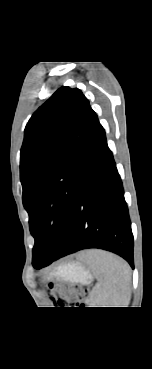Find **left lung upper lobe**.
<instances>
[{
	"mask_svg": "<svg viewBox=\"0 0 152 369\" xmlns=\"http://www.w3.org/2000/svg\"><path fill=\"white\" fill-rule=\"evenodd\" d=\"M99 121L78 88H59L32 115L21 148L23 205L35 239L32 264L59 251L71 223L86 152Z\"/></svg>",
	"mask_w": 152,
	"mask_h": 369,
	"instance_id": "1",
	"label": "left lung upper lobe"
}]
</instances>
